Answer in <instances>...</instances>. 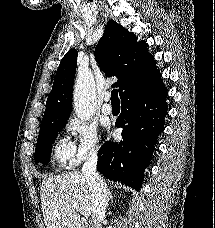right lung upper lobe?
Here are the masks:
<instances>
[{
	"label": "right lung upper lobe",
	"mask_w": 215,
	"mask_h": 228,
	"mask_svg": "<svg viewBox=\"0 0 215 228\" xmlns=\"http://www.w3.org/2000/svg\"><path fill=\"white\" fill-rule=\"evenodd\" d=\"M147 45L145 41L136 42V36L114 20L108 21L95 49V58L108 77L118 78L113 86L119 87L120 97L131 82L159 74ZM76 66L77 50L71 49L63 57L56 72L41 126L67 122L69 119Z\"/></svg>",
	"instance_id": "obj_1"
}]
</instances>
